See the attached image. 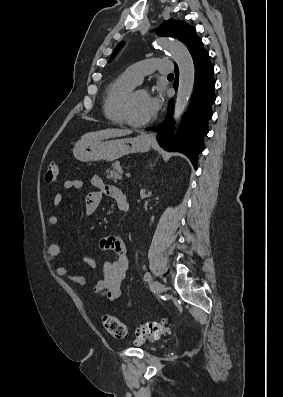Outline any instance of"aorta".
I'll return each instance as SVG.
<instances>
[{
	"label": "aorta",
	"mask_w": 283,
	"mask_h": 397,
	"mask_svg": "<svg viewBox=\"0 0 283 397\" xmlns=\"http://www.w3.org/2000/svg\"><path fill=\"white\" fill-rule=\"evenodd\" d=\"M156 45L168 51L179 68V86L174 107V119L177 121L188 104L195 81L193 59L187 47L175 39L159 38Z\"/></svg>",
	"instance_id": "aorta-1"
}]
</instances>
